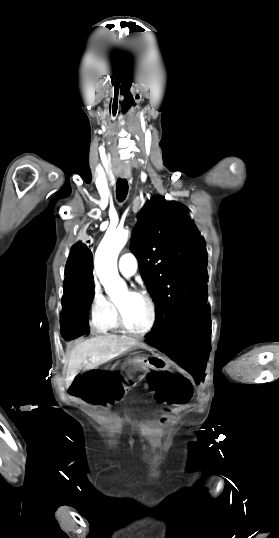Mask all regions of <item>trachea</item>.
Returning a JSON list of instances; mask_svg holds the SVG:
<instances>
[{"instance_id": "trachea-1", "label": "trachea", "mask_w": 279, "mask_h": 538, "mask_svg": "<svg viewBox=\"0 0 279 538\" xmlns=\"http://www.w3.org/2000/svg\"><path fill=\"white\" fill-rule=\"evenodd\" d=\"M128 193V182L126 179L119 178L116 183V197L118 201L125 200Z\"/></svg>"}]
</instances>
